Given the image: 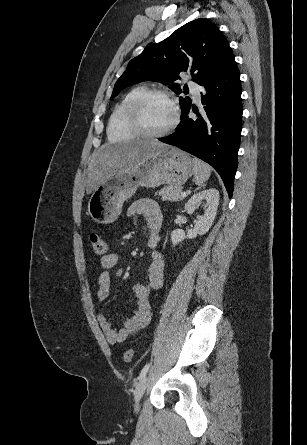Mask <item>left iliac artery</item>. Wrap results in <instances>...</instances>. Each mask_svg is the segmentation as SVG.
<instances>
[{
    "label": "left iliac artery",
    "instance_id": "obj_1",
    "mask_svg": "<svg viewBox=\"0 0 307 445\" xmlns=\"http://www.w3.org/2000/svg\"><path fill=\"white\" fill-rule=\"evenodd\" d=\"M149 367H150V364H146V365L142 368V370H141V372H140V375H139L138 379H142V378L146 375V373H147L148 370H149Z\"/></svg>",
    "mask_w": 307,
    "mask_h": 445
}]
</instances>
